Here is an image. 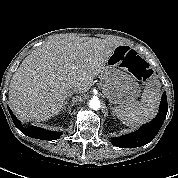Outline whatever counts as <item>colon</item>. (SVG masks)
I'll use <instances>...</instances> for the list:
<instances>
[{
  "label": "colon",
  "mask_w": 178,
  "mask_h": 178,
  "mask_svg": "<svg viewBox=\"0 0 178 178\" xmlns=\"http://www.w3.org/2000/svg\"><path fill=\"white\" fill-rule=\"evenodd\" d=\"M130 71L141 81H148L151 76V71L148 64L142 59L136 60L130 67Z\"/></svg>",
  "instance_id": "5ec220e1"
}]
</instances>
